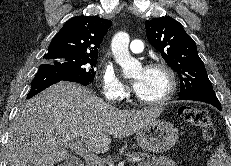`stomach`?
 Wrapping results in <instances>:
<instances>
[{
    "mask_svg": "<svg viewBox=\"0 0 231 166\" xmlns=\"http://www.w3.org/2000/svg\"><path fill=\"white\" fill-rule=\"evenodd\" d=\"M137 144L146 152L163 153L178 141V129L170 122L156 119L137 131Z\"/></svg>",
    "mask_w": 231,
    "mask_h": 166,
    "instance_id": "stomach-1",
    "label": "stomach"
}]
</instances>
